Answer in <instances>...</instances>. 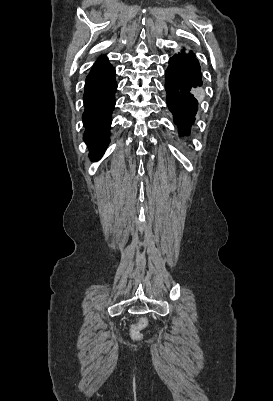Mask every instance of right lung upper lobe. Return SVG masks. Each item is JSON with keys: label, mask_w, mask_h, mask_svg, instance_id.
Instances as JSON below:
<instances>
[{"label": "right lung upper lobe", "mask_w": 273, "mask_h": 401, "mask_svg": "<svg viewBox=\"0 0 273 401\" xmlns=\"http://www.w3.org/2000/svg\"><path fill=\"white\" fill-rule=\"evenodd\" d=\"M104 62H107V57L101 56L99 58V60L94 65H97V64H100V63H104Z\"/></svg>", "instance_id": "1"}]
</instances>
